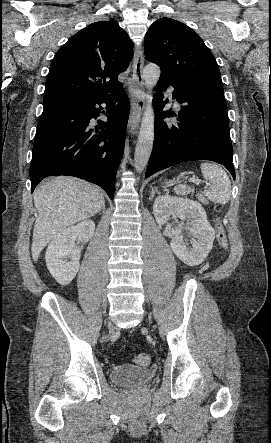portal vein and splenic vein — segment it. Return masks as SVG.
<instances>
[{
	"label": "portal vein and splenic vein",
	"instance_id": "18ae733b",
	"mask_svg": "<svg viewBox=\"0 0 271 443\" xmlns=\"http://www.w3.org/2000/svg\"><path fill=\"white\" fill-rule=\"evenodd\" d=\"M191 182H194V184H200L201 180H196V178H189ZM207 186H210V184H207Z\"/></svg>",
	"mask_w": 271,
	"mask_h": 443
}]
</instances>
